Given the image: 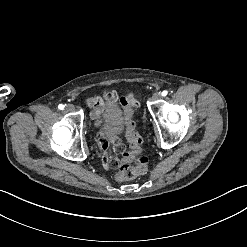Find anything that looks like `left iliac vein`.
Listing matches in <instances>:
<instances>
[{"mask_svg":"<svg viewBox=\"0 0 247 247\" xmlns=\"http://www.w3.org/2000/svg\"><path fill=\"white\" fill-rule=\"evenodd\" d=\"M161 98L160 92H154L152 94V100H159Z\"/></svg>","mask_w":247,"mask_h":247,"instance_id":"4c4485c4","label":"left iliac vein"}]
</instances>
